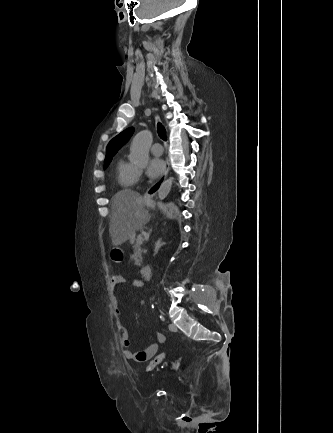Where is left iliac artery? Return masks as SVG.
Masks as SVG:
<instances>
[{"label": "left iliac artery", "mask_w": 333, "mask_h": 433, "mask_svg": "<svg viewBox=\"0 0 333 433\" xmlns=\"http://www.w3.org/2000/svg\"><path fill=\"white\" fill-rule=\"evenodd\" d=\"M160 319L164 321V317L163 316H160Z\"/></svg>", "instance_id": "44dca946"}]
</instances>
